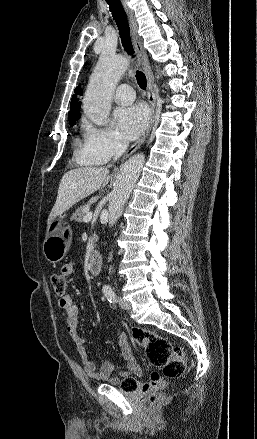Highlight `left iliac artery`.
Listing matches in <instances>:
<instances>
[{"label":"left iliac artery","instance_id":"44dca946","mask_svg":"<svg viewBox=\"0 0 257 439\" xmlns=\"http://www.w3.org/2000/svg\"><path fill=\"white\" fill-rule=\"evenodd\" d=\"M102 290H103V293L106 296L107 300L110 303H115L116 302L115 292L113 291V289L111 288L110 285H104Z\"/></svg>","mask_w":257,"mask_h":439}]
</instances>
